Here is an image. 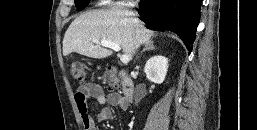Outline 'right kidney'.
<instances>
[{
	"label": "right kidney",
	"mask_w": 257,
	"mask_h": 130,
	"mask_svg": "<svg viewBox=\"0 0 257 130\" xmlns=\"http://www.w3.org/2000/svg\"><path fill=\"white\" fill-rule=\"evenodd\" d=\"M168 68V59L164 56H153L145 64L144 72L148 80L161 84L165 80Z\"/></svg>",
	"instance_id": "1"
}]
</instances>
